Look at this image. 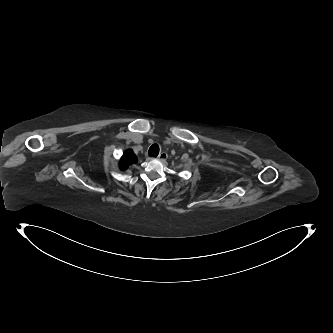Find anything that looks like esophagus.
I'll list each match as a JSON object with an SVG mask.
<instances>
[{
    "mask_svg": "<svg viewBox=\"0 0 333 333\" xmlns=\"http://www.w3.org/2000/svg\"><path fill=\"white\" fill-rule=\"evenodd\" d=\"M168 155L166 152H161L158 156V158L162 161H165L167 159Z\"/></svg>",
    "mask_w": 333,
    "mask_h": 333,
    "instance_id": "obj_1",
    "label": "esophagus"
}]
</instances>
